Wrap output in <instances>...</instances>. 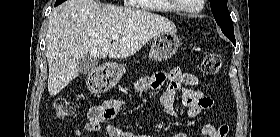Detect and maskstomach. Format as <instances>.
<instances>
[{
	"label": "stomach",
	"mask_w": 280,
	"mask_h": 137,
	"mask_svg": "<svg viewBox=\"0 0 280 137\" xmlns=\"http://www.w3.org/2000/svg\"><path fill=\"white\" fill-rule=\"evenodd\" d=\"M180 47V41L176 34L171 32L161 33L154 37L149 52V59L157 62L166 61L173 57ZM125 73L123 65L112 63L105 66L102 81L88 83V88L93 92H102L118 83Z\"/></svg>",
	"instance_id": "obj_1"
}]
</instances>
